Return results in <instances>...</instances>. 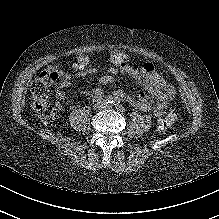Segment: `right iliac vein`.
<instances>
[{"label": "right iliac vein", "instance_id": "63e3f726", "mask_svg": "<svg viewBox=\"0 0 219 219\" xmlns=\"http://www.w3.org/2000/svg\"><path fill=\"white\" fill-rule=\"evenodd\" d=\"M101 107L100 102L95 105V108L99 109Z\"/></svg>", "mask_w": 219, "mask_h": 219}]
</instances>
